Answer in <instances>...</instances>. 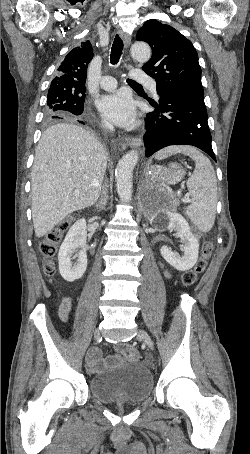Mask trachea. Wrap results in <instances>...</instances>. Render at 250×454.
<instances>
[{"mask_svg": "<svg viewBox=\"0 0 250 454\" xmlns=\"http://www.w3.org/2000/svg\"><path fill=\"white\" fill-rule=\"evenodd\" d=\"M122 50H123V41L118 35H116V37L113 41V44H112V48H111V54H110L111 64L115 65L119 62L121 54H122ZM127 82L131 86L142 87L140 84H138L137 82H135L133 80L127 79Z\"/></svg>", "mask_w": 250, "mask_h": 454, "instance_id": "3493384b", "label": "trachea"}]
</instances>
